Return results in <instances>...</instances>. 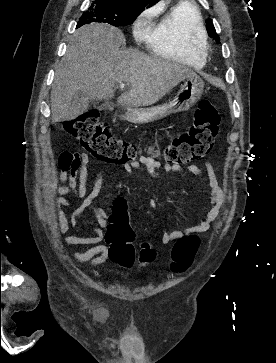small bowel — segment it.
Instances as JSON below:
<instances>
[{
	"instance_id": "c3829d8e",
	"label": "small bowel",
	"mask_w": 276,
	"mask_h": 363,
	"mask_svg": "<svg viewBox=\"0 0 276 363\" xmlns=\"http://www.w3.org/2000/svg\"><path fill=\"white\" fill-rule=\"evenodd\" d=\"M89 161V156L84 152L67 151L61 153L59 157L60 172L58 175V179L61 184L58 185L56 189L60 197L56 200V206L58 208V215L61 221L60 232L62 234H65L68 231L69 225L72 227L82 226L80 218L85 212L90 211L95 215L98 221V226H88V229L93 233L92 236L82 237L77 235H68L65 237L64 241L67 245H90L91 247L86 251L73 252L72 257L78 262H90L93 268H98L108 258V248L101 244V242L104 239L103 229L106 228L109 223L110 214H108L102 207L95 205L94 201L102 189L104 177L111 170L105 169L101 171L94 182L92 190L87 192L86 184L89 174ZM205 166L208 171L207 183L210 190L207 207L203 209L201 217L196 223L188 227L165 232L161 237V242L163 244H169L183 236L206 232L218 218L221 209L224 206L226 194L217 180L213 165L206 162ZM122 167L127 173H132L133 170L143 167L152 177L155 178H162V171L166 173L179 174L184 171L182 165H162L155 159L154 156L151 155L143 156L137 161L124 163ZM188 170L202 181L206 180L203 173L197 166L190 165L188 166ZM67 195L83 198L82 203L75 208L69 219L61 210L62 207H71L73 205V202L65 197ZM122 205L123 202L121 200L115 201V206L117 208ZM151 207L153 208V206ZM105 274L109 275V273Z\"/></svg>"
}]
</instances>
